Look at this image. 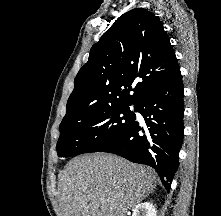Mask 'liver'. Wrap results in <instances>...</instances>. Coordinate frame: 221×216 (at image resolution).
Here are the masks:
<instances>
[{
  "instance_id": "1",
  "label": "liver",
  "mask_w": 221,
  "mask_h": 216,
  "mask_svg": "<svg viewBox=\"0 0 221 216\" xmlns=\"http://www.w3.org/2000/svg\"><path fill=\"white\" fill-rule=\"evenodd\" d=\"M156 187L152 169L111 154L69 161L59 174L63 216H125Z\"/></svg>"
}]
</instances>
